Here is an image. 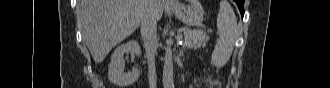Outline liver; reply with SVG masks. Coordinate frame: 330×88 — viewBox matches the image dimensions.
Instances as JSON below:
<instances>
[{
	"label": "liver",
	"instance_id": "liver-1",
	"mask_svg": "<svg viewBox=\"0 0 330 88\" xmlns=\"http://www.w3.org/2000/svg\"><path fill=\"white\" fill-rule=\"evenodd\" d=\"M149 5V0H79L76 11L82 38L96 63L139 27ZM152 6L157 20L161 19L164 0H155Z\"/></svg>",
	"mask_w": 330,
	"mask_h": 88
}]
</instances>
